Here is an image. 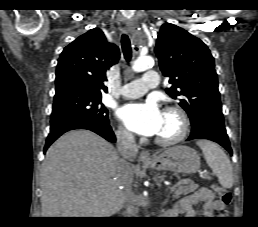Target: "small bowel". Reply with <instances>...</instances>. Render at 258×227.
Returning a JSON list of instances; mask_svg holds the SVG:
<instances>
[{"mask_svg": "<svg viewBox=\"0 0 258 227\" xmlns=\"http://www.w3.org/2000/svg\"><path fill=\"white\" fill-rule=\"evenodd\" d=\"M203 204L201 216L211 217L217 212L223 210L224 205L221 201L216 200L212 191L201 189L193 194L183 198L172 210V215L185 214L189 217L197 216L194 206Z\"/></svg>", "mask_w": 258, "mask_h": 227, "instance_id": "c3829d8e", "label": "small bowel"}]
</instances>
